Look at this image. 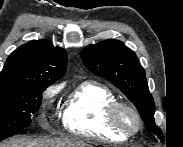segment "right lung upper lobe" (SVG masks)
Segmentation results:
<instances>
[{
	"mask_svg": "<svg viewBox=\"0 0 183 147\" xmlns=\"http://www.w3.org/2000/svg\"><path fill=\"white\" fill-rule=\"evenodd\" d=\"M66 68L65 50L47 40L30 41L8 57L0 74V86L33 82L50 85L65 74Z\"/></svg>",
	"mask_w": 183,
	"mask_h": 147,
	"instance_id": "obj_1",
	"label": "right lung upper lobe"
}]
</instances>
